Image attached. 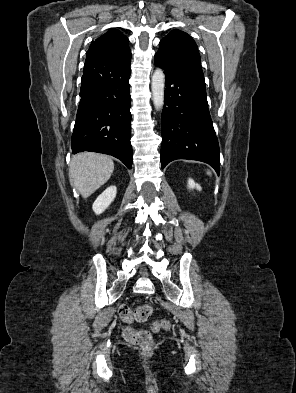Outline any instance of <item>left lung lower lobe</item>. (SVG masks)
<instances>
[{"label":"left lung lower lobe","instance_id":"0a47b994","mask_svg":"<svg viewBox=\"0 0 296 393\" xmlns=\"http://www.w3.org/2000/svg\"><path fill=\"white\" fill-rule=\"evenodd\" d=\"M154 62L166 76L161 167L175 159H190L208 163L219 174V144L208 110L202 69L170 63L157 55Z\"/></svg>","mask_w":296,"mask_h":393}]
</instances>
